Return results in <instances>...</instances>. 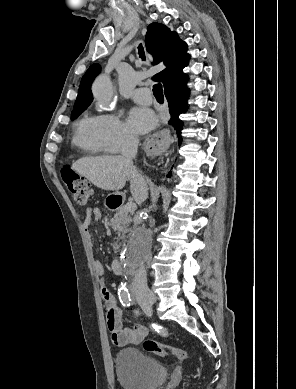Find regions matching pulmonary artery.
<instances>
[{
  "instance_id": "1",
  "label": "pulmonary artery",
  "mask_w": 296,
  "mask_h": 389,
  "mask_svg": "<svg viewBox=\"0 0 296 389\" xmlns=\"http://www.w3.org/2000/svg\"><path fill=\"white\" fill-rule=\"evenodd\" d=\"M132 98L135 102L142 105H149L152 102L150 91L148 88H138L133 91Z\"/></svg>"
}]
</instances>
